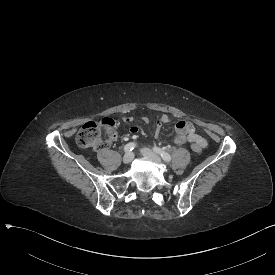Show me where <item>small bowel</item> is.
Listing matches in <instances>:
<instances>
[{
  "label": "small bowel",
  "instance_id": "1",
  "mask_svg": "<svg viewBox=\"0 0 275 275\" xmlns=\"http://www.w3.org/2000/svg\"><path fill=\"white\" fill-rule=\"evenodd\" d=\"M122 120L125 123H128V122L132 123L133 117L130 115H123ZM169 121H170V117L168 115H163L158 119L157 125L154 130L155 137L160 136L162 125L165 123H168ZM175 129H176V135L174 137V142L176 144L182 145L188 142L200 141L205 143L206 145V141L196 133V128L191 121L180 120L176 123ZM129 132L131 135H136L138 133V128L133 125L131 126Z\"/></svg>",
  "mask_w": 275,
  "mask_h": 275
}]
</instances>
